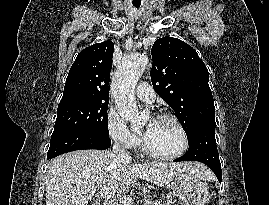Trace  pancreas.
I'll return each instance as SVG.
<instances>
[{"label":"pancreas","mask_w":269,"mask_h":205,"mask_svg":"<svg viewBox=\"0 0 269 205\" xmlns=\"http://www.w3.org/2000/svg\"><path fill=\"white\" fill-rule=\"evenodd\" d=\"M145 205H172L170 201H156Z\"/></svg>","instance_id":"pancreas-1"}]
</instances>
